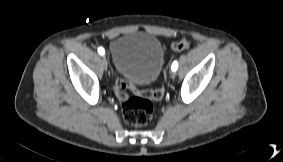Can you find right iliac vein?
I'll list each match as a JSON object with an SVG mask.
<instances>
[{"label":"right iliac vein","instance_id":"obj_1","mask_svg":"<svg viewBox=\"0 0 283 162\" xmlns=\"http://www.w3.org/2000/svg\"><path fill=\"white\" fill-rule=\"evenodd\" d=\"M102 66L105 70H107L108 68V61L106 59V57L104 56L103 59H102Z\"/></svg>","mask_w":283,"mask_h":162}]
</instances>
